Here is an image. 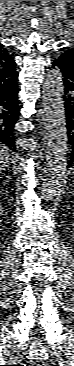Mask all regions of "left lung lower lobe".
Masks as SVG:
<instances>
[{
  "instance_id": "obj_1",
  "label": "left lung lower lobe",
  "mask_w": 74,
  "mask_h": 366,
  "mask_svg": "<svg viewBox=\"0 0 74 366\" xmlns=\"http://www.w3.org/2000/svg\"><path fill=\"white\" fill-rule=\"evenodd\" d=\"M52 66L59 69L63 76L66 123L73 150L69 161V166H71L74 165V66L60 58L56 59Z\"/></svg>"
}]
</instances>
